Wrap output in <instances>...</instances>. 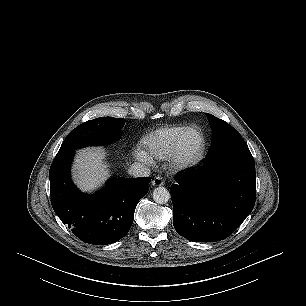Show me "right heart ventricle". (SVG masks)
<instances>
[{"instance_id": "1", "label": "right heart ventricle", "mask_w": 306, "mask_h": 306, "mask_svg": "<svg viewBox=\"0 0 306 306\" xmlns=\"http://www.w3.org/2000/svg\"><path fill=\"white\" fill-rule=\"evenodd\" d=\"M186 127L166 126L148 133L142 140L146 151L157 159H165L174 151L176 142Z\"/></svg>"}]
</instances>
